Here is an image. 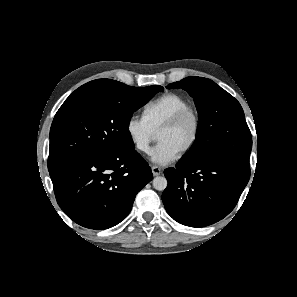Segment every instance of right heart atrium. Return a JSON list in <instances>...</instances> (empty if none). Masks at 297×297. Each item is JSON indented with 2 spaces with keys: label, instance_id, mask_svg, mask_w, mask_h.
<instances>
[{
  "label": "right heart atrium",
  "instance_id": "1",
  "mask_svg": "<svg viewBox=\"0 0 297 297\" xmlns=\"http://www.w3.org/2000/svg\"><path fill=\"white\" fill-rule=\"evenodd\" d=\"M126 131L134 149L142 154H148L155 138V132L142 116L131 115L126 123Z\"/></svg>",
  "mask_w": 297,
  "mask_h": 297
}]
</instances>
